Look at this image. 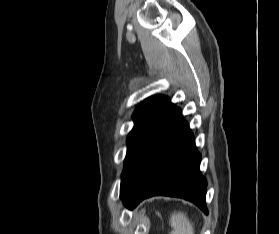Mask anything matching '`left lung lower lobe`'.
I'll use <instances>...</instances> for the list:
<instances>
[{"label": "left lung lower lobe", "mask_w": 279, "mask_h": 234, "mask_svg": "<svg viewBox=\"0 0 279 234\" xmlns=\"http://www.w3.org/2000/svg\"><path fill=\"white\" fill-rule=\"evenodd\" d=\"M201 155L181 110L165 97L149 125L120 192L127 208L154 195L181 197L207 213Z\"/></svg>", "instance_id": "0a47b994"}]
</instances>
